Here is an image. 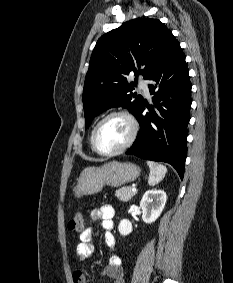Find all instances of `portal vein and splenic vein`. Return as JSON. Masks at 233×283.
<instances>
[{"mask_svg":"<svg viewBox=\"0 0 233 283\" xmlns=\"http://www.w3.org/2000/svg\"><path fill=\"white\" fill-rule=\"evenodd\" d=\"M131 191L134 192V193H136V192H137V189L133 187V188H131Z\"/></svg>","mask_w":233,"mask_h":283,"instance_id":"obj_1","label":"portal vein and splenic vein"}]
</instances>
